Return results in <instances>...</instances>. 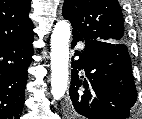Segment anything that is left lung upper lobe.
I'll list each match as a JSON object with an SVG mask.
<instances>
[{
  "instance_id": "obj_1",
  "label": "left lung upper lobe",
  "mask_w": 142,
  "mask_h": 119,
  "mask_svg": "<svg viewBox=\"0 0 142 119\" xmlns=\"http://www.w3.org/2000/svg\"><path fill=\"white\" fill-rule=\"evenodd\" d=\"M63 17L84 40L124 43V22L117 0H65Z\"/></svg>"
}]
</instances>
